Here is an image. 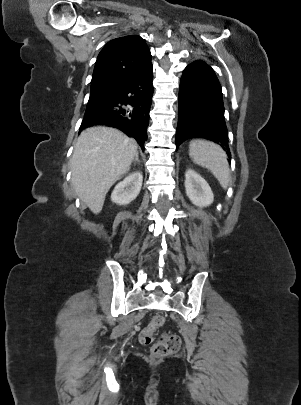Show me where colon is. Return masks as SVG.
Here are the masks:
<instances>
[{
    "label": "colon",
    "mask_w": 301,
    "mask_h": 405,
    "mask_svg": "<svg viewBox=\"0 0 301 405\" xmlns=\"http://www.w3.org/2000/svg\"><path fill=\"white\" fill-rule=\"evenodd\" d=\"M164 318L162 316H154L149 324L140 332L139 342L145 346H151V354L153 358H162L170 354L176 353L181 346V340L178 335L172 333L163 334L156 342H154L155 331L162 326Z\"/></svg>",
    "instance_id": "obj_1"
}]
</instances>
